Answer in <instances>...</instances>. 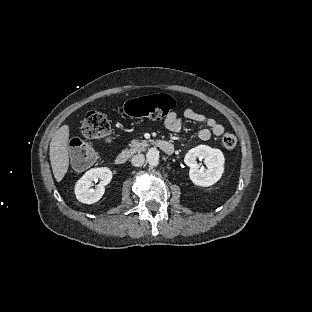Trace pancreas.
I'll list each match as a JSON object with an SVG mask.
<instances>
[{"instance_id": "1", "label": "pancreas", "mask_w": 312, "mask_h": 312, "mask_svg": "<svg viewBox=\"0 0 312 312\" xmlns=\"http://www.w3.org/2000/svg\"><path fill=\"white\" fill-rule=\"evenodd\" d=\"M129 146H130L129 152L131 154L140 153L145 150L146 146H148V141L147 140L139 141V140L134 139L131 141Z\"/></svg>"}]
</instances>
